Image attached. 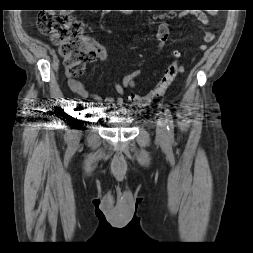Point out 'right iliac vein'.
<instances>
[{
    "label": "right iliac vein",
    "mask_w": 253,
    "mask_h": 253,
    "mask_svg": "<svg viewBox=\"0 0 253 253\" xmlns=\"http://www.w3.org/2000/svg\"><path fill=\"white\" fill-rule=\"evenodd\" d=\"M76 118H77V113H74L73 119H72V124L69 125L70 132L73 135L72 136L73 142H76L77 139L79 138L78 129L76 128V126H77V119Z\"/></svg>",
    "instance_id": "63e3f726"
}]
</instances>
